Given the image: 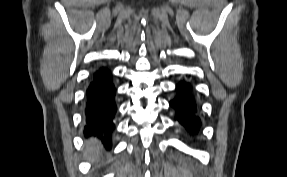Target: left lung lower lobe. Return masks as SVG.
<instances>
[{"label": "left lung lower lobe", "instance_id": "1", "mask_svg": "<svg viewBox=\"0 0 287 177\" xmlns=\"http://www.w3.org/2000/svg\"><path fill=\"white\" fill-rule=\"evenodd\" d=\"M176 90V97L170 101V105L176 110L175 120L190 133H197L201 122L196 116L197 106L191 94V85L183 81L176 85Z\"/></svg>", "mask_w": 287, "mask_h": 177}]
</instances>
